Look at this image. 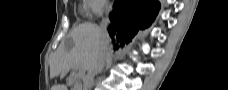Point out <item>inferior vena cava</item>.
Instances as JSON below:
<instances>
[{
    "label": "inferior vena cava",
    "instance_id": "602c4592",
    "mask_svg": "<svg viewBox=\"0 0 228 90\" xmlns=\"http://www.w3.org/2000/svg\"><path fill=\"white\" fill-rule=\"evenodd\" d=\"M109 17H104L100 24V37H101V48L100 52L96 58V61L92 68L90 69L88 73V78L85 81V90H91L93 86V77L100 73L105 65V59H106V52H107V45H108V32H107V26L109 24Z\"/></svg>",
    "mask_w": 228,
    "mask_h": 90
}]
</instances>
